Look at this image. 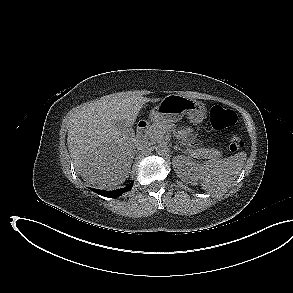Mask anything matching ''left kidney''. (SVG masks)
I'll use <instances>...</instances> for the list:
<instances>
[{
  "mask_svg": "<svg viewBox=\"0 0 293 293\" xmlns=\"http://www.w3.org/2000/svg\"><path fill=\"white\" fill-rule=\"evenodd\" d=\"M173 167L182 181L191 183L196 181L200 164L196 163L190 156L178 155L173 158Z\"/></svg>",
  "mask_w": 293,
  "mask_h": 293,
  "instance_id": "5707ae66",
  "label": "left kidney"
}]
</instances>
